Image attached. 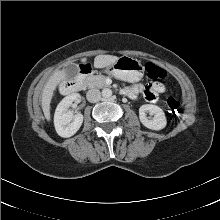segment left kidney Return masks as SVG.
<instances>
[{"label":"left kidney","mask_w":220,"mask_h":220,"mask_svg":"<svg viewBox=\"0 0 220 220\" xmlns=\"http://www.w3.org/2000/svg\"><path fill=\"white\" fill-rule=\"evenodd\" d=\"M146 113L153 117H147ZM139 119L145 127L151 130H161L167 124L163 110L152 104H144L139 108Z\"/></svg>","instance_id":"1"}]
</instances>
